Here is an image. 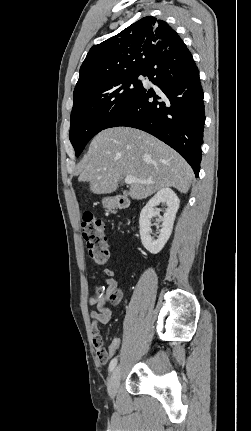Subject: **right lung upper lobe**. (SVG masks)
<instances>
[{"label":"right lung upper lobe","mask_w":251,"mask_h":431,"mask_svg":"<svg viewBox=\"0 0 251 431\" xmlns=\"http://www.w3.org/2000/svg\"><path fill=\"white\" fill-rule=\"evenodd\" d=\"M179 46L185 44L165 21L144 17L90 49L74 95L124 74L146 71L153 60Z\"/></svg>","instance_id":"right-lung-upper-lobe-1"}]
</instances>
